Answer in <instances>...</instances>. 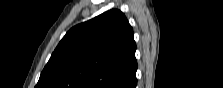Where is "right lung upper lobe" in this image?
Listing matches in <instances>:
<instances>
[{"instance_id": "1", "label": "right lung upper lobe", "mask_w": 223, "mask_h": 88, "mask_svg": "<svg viewBox=\"0 0 223 88\" xmlns=\"http://www.w3.org/2000/svg\"><path fill=\"white\" fill-rule=\"evenodd\" d=\"M135 50L128 20L111 9L66 33L35 88H131Z\"/></svg>"}]
</instances>
